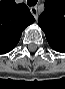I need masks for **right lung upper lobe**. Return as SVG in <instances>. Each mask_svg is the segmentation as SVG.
Returning <instances> with one entry per match:
<instances>
[{
	"label": "right lung upper lobe",
	"mask_w": 65,
	"mask_h": 89,
	"mask_svg": "<svg viewBox=\"0 0 65 89\" xmlns=\"http://www.w3.org/2000/svg\"><path fill=\"white\" fill-rule=\"evenodd\" d=\"M34 22L29 8L25 4H16L14 0L0 2V54L14 49L23 30Z\"/></svg>",
	"instance_id": "obj_1"
}]
</instances>
